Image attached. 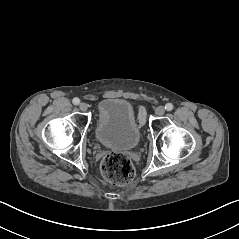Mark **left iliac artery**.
I'll use <instances>...</instances> for the list:
<instances>
[{
	"mask_svg": "<svg viewBox=\"0 0 239 239\" xmlns=\"http://www.w3.org/2000/svg\"><path fill=\"white\" fill-rule=\"evenodd\" d=\"M165 109H166L167 111H171V110L173 109V105H172L171 103H167V104L165 105Z\"/></svg>",
	"mask_w": 239,
	"mask_h": 239,
	"instance_id": "44dca946",
	"label": "left iliac artery"
}]
</instances>
